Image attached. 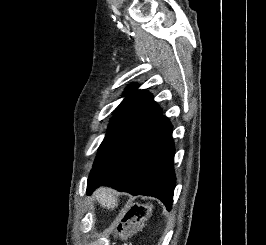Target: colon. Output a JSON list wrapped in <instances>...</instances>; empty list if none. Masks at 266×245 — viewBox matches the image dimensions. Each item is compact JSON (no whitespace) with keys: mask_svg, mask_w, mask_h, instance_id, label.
I'll list each match as a JSON object with an SVG mask.
<instances>
[{"mask_svg":"<svg viewBox=\"0 0 266 245\" xmlns=\"http://www.w3.org/2000/svg\"><path fill=\"white\" fill-rule=\"evenodd\" d=\"M149 212V206L145 203H137L127 208L115 228L117 236L122 240L129 239L140 230Z\"/></svg>","mask_w":266,"mask_h":245,"instance_id":"colon-1","label":"colon"}]
</instances>
